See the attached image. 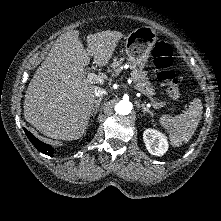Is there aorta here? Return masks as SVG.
Masks as SVG:
<instances>
[{"mask_svg": "<svg viewBox=\"0 0 221 221\" xmlns=\"http://www.w3.org/2000/svg\"><path fill=\"white\" fill-rule=\"evenodd\" d=\"M132 103L127 100H122L115 105V111L121 115H128L131 113Z\"/></svg>", "mask_w": 221, "mask_h": 221, "instance_id": "aorta-1", "label": "aorta"}]
</instances>
